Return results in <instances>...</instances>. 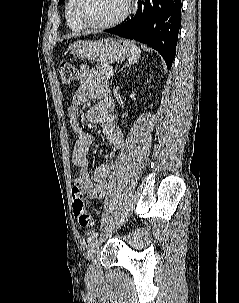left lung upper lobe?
Returning <instances> with one entry per match:
<instances>
[{
	"label": "left lung upper lobe",
	"mask_w": 239,
	"mask_h": 303,
	"mask_svg": "<svg viewBox=\"0 0 239 303\" xmlns=\"http://www.w3.org/2000/svg\"><path fill=\"white\" fill-rule=\"evenodd\" d=\"M64 0H59V4H61Z\"/></svg>",
	"instance_id": "left-lung-upper-lobe-1"
}]
</instances>
